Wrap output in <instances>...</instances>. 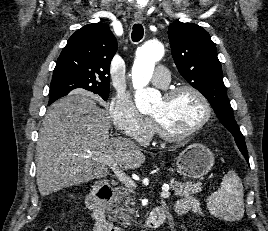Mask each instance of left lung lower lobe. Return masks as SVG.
Returning <instances> with one entry per match:
<instances>
[{"label": "left lung lower lobe", "instance_id": "obj_1", "mask_svg": "<svg viewBox=\"0 0 268 231\" xmlns=\"http://www.w3.org/2000/svg\"><path fill=\"white\" fill-rule=\"evenodd\" d=\"M243 154V156L245 157L246 161L249 163V159H248V155L247 152H241Z\"/></svg>", "mask_w": 268, "mask_h": 231}]
</instances>
